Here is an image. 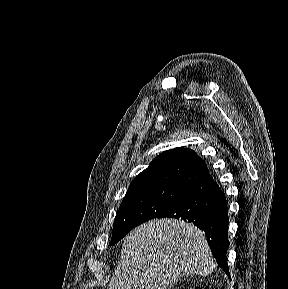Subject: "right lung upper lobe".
<instances>
[{
  "instance_id": "obj_1",
  "label": "right lung upper lobe",
  "mask_w": 288,
  "mask_h": 289,
  "mask_svg": "<svg viewBox=\"0 0 288 289\" xmlns=\"http://www.w3.org/2000/svg\"><path fill=\"white\" fill-rule=\"evenodd\" d=\"M206 174L208 168L195 151L175 148L157 156L131 182L128 192L156 187L188 190Z\"/></svg>"
}]
</instances>
